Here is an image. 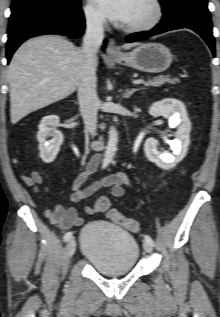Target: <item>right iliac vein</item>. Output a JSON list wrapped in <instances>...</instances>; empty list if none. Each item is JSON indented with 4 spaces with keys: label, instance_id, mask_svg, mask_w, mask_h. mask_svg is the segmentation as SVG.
Segmentation results:
<instances>
[{
    "label": "right iliac vein",
    "instance_id": "1",
    "mask_svg": "<svg viewBox=\"0 0 220 317\" xmlns=\"http://www.w3.org/2000/svg\"><path fill=\"white\" fill-rule=\"evenodd\" d=\"M76 250V241L74 238H71L66 246V252L68 257H72Z\"/></svg>",
    "mask_w": 220,
    "mask_h": 317
}]
</instances>
